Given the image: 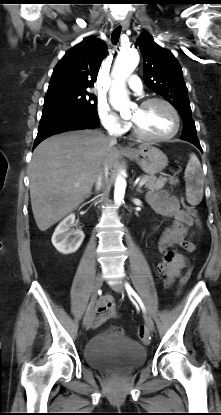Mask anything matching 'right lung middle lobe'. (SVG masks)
I'll use <instances>...</instances> for the list:
<instances>
[{"instance_id":"1","label":"right lung middle lobe","mask_w":221,"mask_h":415,"mask_svg":"<svg viewBox=\"0 0 221 415\" xmlns=\"http://www.w3.org/2000/svg\"><path fill=\"white\" fill-rule=\"evenodd\" d=\"M44 106H65L98 115L97 98L86 89L47 93L44 99Z\"/></svg>"}]
</instances>
